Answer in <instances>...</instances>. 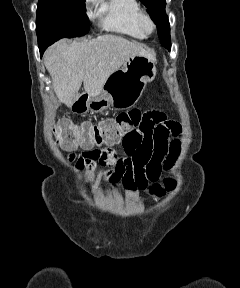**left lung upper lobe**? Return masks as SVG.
<instances>
[{
    "label": "left lung upper lobe",
    "mask_w": 240,
    "mask_h": 288,
    "mask_svg": "<svg viewBox=\"0 0 240 288\" xmlns=\"http://www.w3.org/2000/svg\"><path fill=\"white\" fill-rule=\"evenodd\" d=\"M148 9L150 17L158 28L161 44L169 51L171 49L170 25L165 13V0H140Z\"/></svg>",
    "instance_id": "5c2ea615"
}]
</instances>
